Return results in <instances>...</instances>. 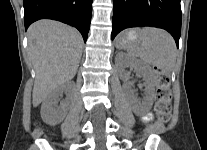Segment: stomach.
I'll list each match as a JSON object with an SVG mask.
<instances>
[{
	"label": "stomach",
	"mask_w": 207,
	"mask_h": 150,
	"mask_svg": "<svg viewBox=\"0 0 207 150\" xmlns=\"http://www.w3.org/2000/svg\"><path fill=\"white\" fill-rule=\"evenodd\" d=\"M138 41V33L135 30L123 32L116 40V46L120 49H126L128 46Z\"/></svg>",
	"instance_id": "0dacf381"
}]
</instances>
